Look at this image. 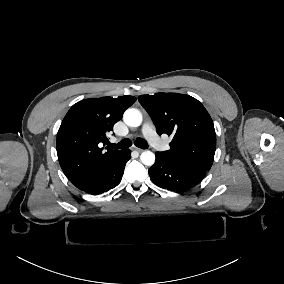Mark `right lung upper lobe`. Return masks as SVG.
I'll return each instance as SVG.
<instances>
[{
    "label": "right lung upper lobe",
    "mask_w": 284,
    "mask_h": 284,
    "mask_svg": "<svg viewBox=\"0 0 284 284\" xmlns=\"http://www.w3.org/2000/svg\"><path fill=\"white\" fill-rule=\"evenodd\" d=\"M136 98H90L74 104L57 133V155L66 177L77 187L87 183L123 150L103 151L106 134L113 130Z\"/></svg>",
    "instance_id": "1"
}]
</instances>
